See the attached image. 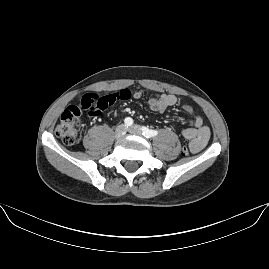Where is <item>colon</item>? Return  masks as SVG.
<instances>
[{
  "instance_id": "obj_1",
  "label": "colon",
  "mask_w": 269,
  "mask_h": 269,
  "mask_svg": "<svg viewBox=\"0 0 269 269\" xmlns=\"http://www.w3.org/2000/svg\"><path fill=\"white\" fill-rule=\"evenodd\" d=\"M127 96L125 90L120 89L118 92H113L109 96L100 97L95 94H85L80 102L68 106L61 114L60 120L55 126L56 136L67 145H74L79 135L84 131L86 120L82 118L83 113L91 119H95L99 114L108 107L111 103L123 99ZM189 148L182 149V155L188 156Z\"/></svg>"
}]
</instances>
